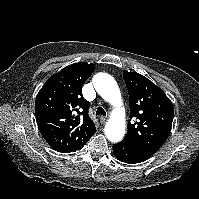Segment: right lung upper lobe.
Masks as SVG:
<instances>
[{
    "instance_id": "1",
    "label": "right lung upper lobe",
    "mask_w": 199,
    "mask_h": 199,
    "mask_svg": "<svg viewBox=\"0 0 199 199\" xmlns=\"http://www.w3.org/2000/svg\"><path fill=\"white\" fill-rule=\"evenodd\" d=\"M95 69L94 64L74 63L52 75L35 101L39 130L58 152L73 151L87 143L96 132L88 114L89 102L82 96V85Z\"/></svg>"
}]
</instances>
